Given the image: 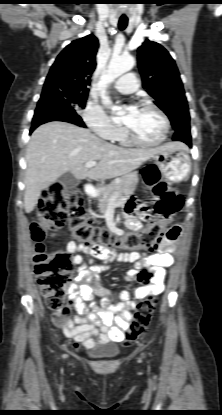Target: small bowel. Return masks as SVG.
Wrapping results in <instances>:
<instances>
[{
    "mask_svg": "<svg viewBox=\"0 0 222 415\" xmlns=\"http://www.w3.org/2000/svg\"><path fill=\"white\" fill-rule=\"evenodd\" d=\"M134 212L133 205L126 207L127 225L136 230L141 228V223L134 217ZM181 231L179 224L171 227L159 243L156 253L108 254L107 258L132 265L125 275L128 282H134L144 271L149 274L147 283L119 293L105 291L96 282L98 274L107 270L108 265L87 266L83 263L82 254L92 251L72 241L67 243L66 249L74 255L78 269L75 282L69 288L68 304L52 313V321L73 341L75 348H92L124 340L125 330L136 305L135 300L157 296L164 291L166 269L174 263L171 253ZM96 292L105 296L100 304L94 298ZM72 308L77 313L74 317L69 316Z\"/></svg>",
    "mask_w": 222,
    "mask_h": 415,
    "instance_id": "1",
    "label": "small bowel"
}]
</instances>
